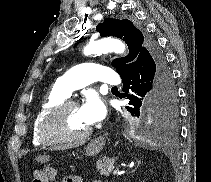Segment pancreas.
<instances>
[{
    "label": "pancreas",
    "mask_w": 211,
    "mask_h": 182,
    "mask_svg": "<svg viewBox=\"0 0 211 182\" xmlns=\"http://www.w3.org/2000/svg\"><path fill=\"white\" fill-rule=\"evenodd\" d=\"M114 162V158L104 157L102 160L99 159L96 163L97 170L100 172L101 175L109 176L114 168Z\"/></svg>",
    "instance_id": "obj_1"
}]
</instances>
